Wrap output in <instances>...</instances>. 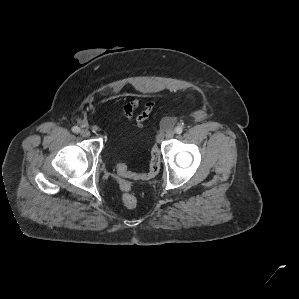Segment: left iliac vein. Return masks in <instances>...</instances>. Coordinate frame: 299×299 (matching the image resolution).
Returning <instances> with one entry per match:
<instances>
[{
    "instance_id": "1",
    "label": "left iliac vein",
    "mask_w": 299,
    "mask_h": 299,
    "mask_svg": "<svg viewBox=\"0 0 299 299\" xmlns=\"http://www.w3.org/2000/svg\"><path fill=\"white\" fill-rule=\"evenodd\" d=\"M174 134H175L174 130L169 129V130L166 131L165 136H166L167 139H171V138L174 137Z\"/></svg>"
}]
</instances>
